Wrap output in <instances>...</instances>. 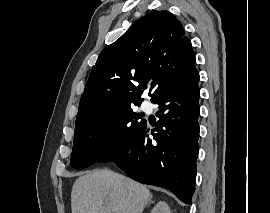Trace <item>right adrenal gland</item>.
<instances>
[{"instance_id": "1", "label": "right adrenal gland", "mask_w": 270, "mask_h": 213, "mask_svg": "<svg viewBox=\"0 0 270 213\" xmlns=\"http://www.w3.org/2000/svg\"><path fill=\"white\" fill-rule=\"evenodd\" d=\"M152 203H154V201H149V204H152Z\"/></svg>"}]
</instances>
